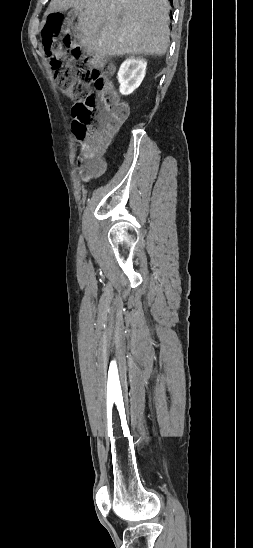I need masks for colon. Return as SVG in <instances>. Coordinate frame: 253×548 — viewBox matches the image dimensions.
<instances>
[{"label":"colon","mask_w":253,"mask_h":548,"mask_svg":"<svg viewBox=\"0 0 253 548\" xmlns=\"http://www.w3.org/2000/svg\"><path fill=\"white\" fill-rule=\"evenodd\" d=\"M63 30V16L52 13L44 29L43 46L55 71L57 88L74 102L73 130L83 142L79 165L84 177L103 170L100 157L108 139L128 114L107 74L110 65L84 55L79 46L70 43L69 35L56 38Z\"/></svg>","instance_id":"obj_1"}]
</instances>
